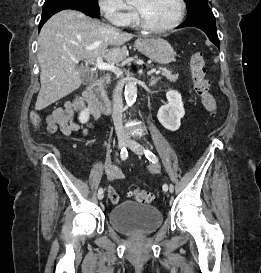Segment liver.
Returning a JSON list of instances; mask_svg holds the SVG:
<instances>
[{
    "label": "liver",
    "instance_id": "liver-1",
    "mask_svg": "<svg viewBox=\"0 0 261 273\" xmlns=\"http://www.w3.org/2000/svg\"><path fill=\"white\" fill-rule=\"evenodd\" d=\"M132 38L76 10L53 15L38 38L41 88L35 109L42 110L81 86L79 61L94 62L98 57L114 65L124 61L128 53L124 44Z\"/></svg>",
    "mask_w": 261,
    "mask_h": 273
}]
</instances>
